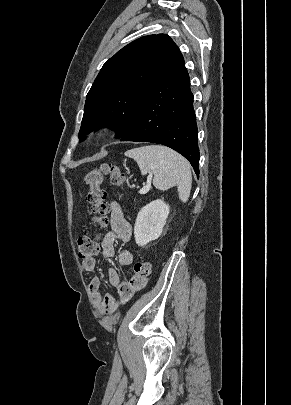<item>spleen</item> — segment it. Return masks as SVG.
<instances>
[{
    "label": "spleen",
    "mask_w": 291,
    "mask_h": 405,
    "mask_svg": "<svg viewBox=\"0 0 291 405\" xmlns=\"http://www.w3.org/2000/svg\"><path fill=\"white\" fill-rule=\"evenodd\" d=\"M126 156L133 158L142 173H153V184L159 190L177 186L179 199L187 202L192 185L190 165L174 150L160 145H149L128 150Z\"/></svg>",
    "instance_id": "1"
}]
</instances>
